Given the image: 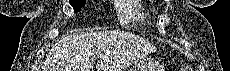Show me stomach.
Wrapping results in <instances>:
<instances>
[{
	"label": "stomach",
	"instance_id": "1",
	"mask_svg": "<svg viewBox=\"0 0 230 71\" xmlns=\"http://www.w3.org/2000/svg\"><path fill=\"white\" fill-rule=\"evenodd\" d=\"M157 66L151 61H145L133 67L129 71H157Z\"/></svg>",
	"mask_w": 230,
	"mask_h": 71
}]
</instances>
